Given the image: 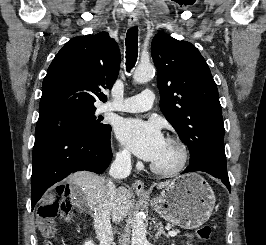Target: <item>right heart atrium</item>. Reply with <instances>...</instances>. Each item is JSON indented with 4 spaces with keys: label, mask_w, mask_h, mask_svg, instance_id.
<instances>
[{
    "label": "right heart atrium",
    "mask_w": 266,
    "mask_h": 245,
    "mask_svg": "<svg viewBox=\"0 0 266 245\" xmlns=\"http://www.w3.org/2000/svg\"><path fill=\"white\" fill-rule=\"evenodd\" d=\"M117 157L120 161L126 162L130 160L131 155L127 149L122 148L118 151Z\"/></svg>",
    "instance_id": "d8ad5b80"
}]
</instances>
